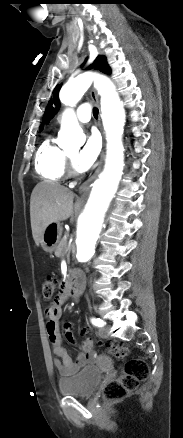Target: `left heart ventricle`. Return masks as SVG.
<instances>
[{"label": "left heart ventricle", "mask_w": 183, "mask_h": 438, "mask_svg": "<svg viewBox=\"0 0 183 438\" xmlns=\"http://www.w3.org/2000/svg\"><path fill=\"white\" fill-rule=\"evenodd\" d=\"M76 156V154L75 153H73V154H70V157L71 158H74Z\"/></svg>", "instance_id": "1"}]
</instances>
